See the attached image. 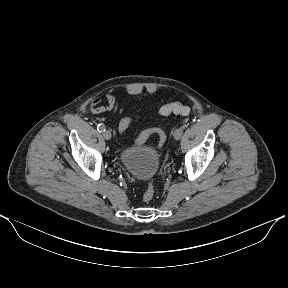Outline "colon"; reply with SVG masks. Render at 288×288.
<instances>
[{
    "mask_svg": "<svg viewBox=\"0 0 288 288\" xmlns=\"http://www.w3.org/2000/svg\"><path fill=\"white\" fill-rule=\"evenodd\" d=\"M158 113L162 116L169 115L171 113L186 116L191 113V109L190 107L185 106L179 102H174L161 107ZM133 119L134 117H124L120 123V129L123 132L126 131ZM153 135L158 138V147L162 148L166 141V134L161 128L158 127L148 128L144 130L137 138V144L143 143L145 140H147L150 136ZM154 194V185L152 182H150L143 194V201L150 202L153 199Z\"/></svg>",
    "mask_w": 288,
    "mask_h": 288,
    "instance_id": "obj_1",
    "label": "colon"
}]
</instances>
